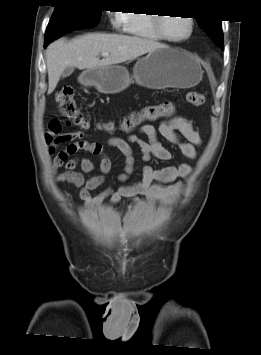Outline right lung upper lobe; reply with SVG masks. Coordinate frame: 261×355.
<instances>
[{
  "instance_id": "right-lung-upper-lobe-1",
  "label": "right lung upper lobe",
  "mask_w": 261,
  "mask_h": 355,
  "mask_svg": "<svg viewBox=\"0 0 261 355\" xmlns=\"http://www.w3.org/2000/svg\"><path fill=\"white\" fill-rule=\"evenodd\" d=\"M65 1H70V0H56V2H58V3H62V2H65Z\"/></svg>"
}]
</instances>
